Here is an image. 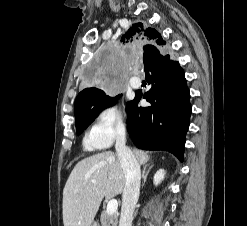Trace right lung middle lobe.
Wrapping results in <instances>:
<instances>
[{
  "label": "right lung middle lobe",
  "instance_id": "obj_1",
  "mask_svg": "<svg viewBox=\"0 0 247 226\" xmlns=\"http://www.w3.org/2000/svg\"><path fill=\"white\" fill-rule=\"evenodd\" d=\"M120 95L116 96L115 99L109 96H106L102 91L99 95L86 102L82 108L83 112L81 115L76 117V130L77 134L83 132L89 124H91L97 115L110 106H113L116 103V100L119 99Z\"/></svg>",
  "mask_w": 247,
  "mask_h": 226
}]
</instances>
